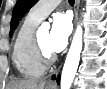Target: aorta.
<instances>
[{
  "label": "aorta",
  "mask_w": 107,
  "mask_h": 89,
  "mask_svg": "<svg viewBox=\"0 0 107 89\" xmlns=\"http://www.w3.org/2000/svg\"><path fill=\"white\" fill-rule=\"evenodd\" d=\"M49 29L50 25L48 23H42L39 28L40 31H48ZM82 35V27L78 25L62 70L61 89H70L75 78L82 51Z\"/></svg>",
  "instance_id": "762f6f07"
}]
</instances>
